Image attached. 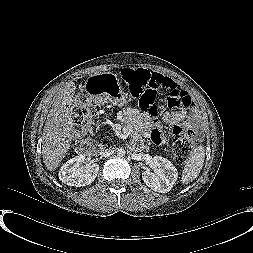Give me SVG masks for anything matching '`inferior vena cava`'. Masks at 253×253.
Wrapping results in <instances>:
<instances>
[{
  "label": "inferior vena cava",
  "mask_w": 253,
  "mask_h": 253,
  "mask_svg": "<svg viewBox=\"0 0 253 253\" xmlns=\"http://www.w3.org/2000/svg\"><path fill=\"white\" fill-rule=\"evenodd\" d=\"M112 154H113V151H111V150H106V151L103 153V155H104L105 157H107V158H110V157L112 156Z\"/></svg>",
  "instance_id": "1"
}]
</instances>
